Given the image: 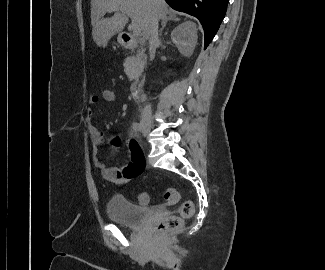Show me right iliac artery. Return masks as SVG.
Listing matches in <instances>:
<instances>
[{"instance_id":"obj_1","label":"right iliac artery","mask_w":325,"mask_h":270,"mask_svg":"<svg viewBox=\"0 0 325 270\" xmlns=\"http://www.w3.org/2000/svg\"><path fill=\"white\" fill-rule=\"evenodd\" d=\"M141 124L140 123H133V129L135 131H140L141 130Z\"/></svg>"}]
</instances>
